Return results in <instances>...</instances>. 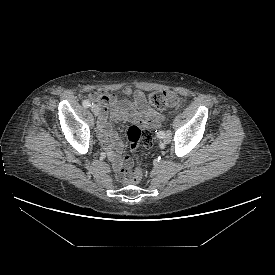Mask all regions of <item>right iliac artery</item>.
<instances>
[{"mask_svg": "<svg viewBox=\"0 0 275 275\" xmlns=\"http://www.w3.org/2000/svg\"><path fill=\"white\" fill-rule=\"evenodd\" d=\"M92 104H93V103H92ZM83 106L86 107V108H87V107H90V106H91V102H90L89 100H84V101H83Z\"/></svg>", "mask_w": 275, "mask_h": 275, "instance_id": "obj_1", "label": "right iliac artery"}]
</instances>
